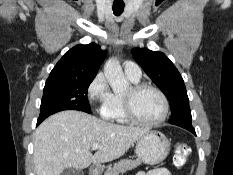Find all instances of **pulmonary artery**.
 I'll list each match as a JSON object with an SVG mask.
<instances>
[{
	"instance_id": "1",
	"label": "pulmonary artery",
	"mask_w": 233,
	"mask_h": 175,
	"mask_svg": "<svg viewBox=\"0 0 233 175\" xmlns=\"http://www.w3.org/2000/svg\"><path fill=\"white\" fill-rule=\"evenodd\" d=\"M125 75L134 81H138L141 78V69L139 65L132 61H127L124 63Z\"/></svg>"
}]
</instances>
